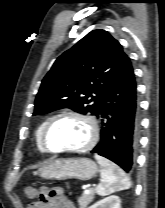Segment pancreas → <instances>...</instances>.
<instances>
[{
	"mask_svg": "<svg viewBox=\"0 0 165 208\" xmlns=\"http://www.w3.org/2000/svg\"><path fill=\"white\" fill-rule=\"evenodd\" d=\"M95 195V190H90L89 194L83 193L81 197L78 199V204L80 205V208H86L87 205L93 201Z\"/></svg>",
	"mask_w": 165,
	"mask_h": 208,
	"instance_id": "obj_1",
	"label": "pancreas"
}]
</instances>
